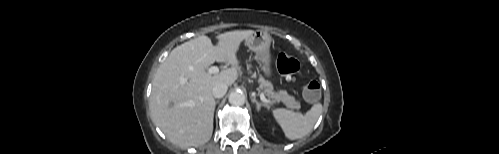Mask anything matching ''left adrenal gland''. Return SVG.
Returning <instances> with one entry per match:
<instances>
[{
	"instance_id": "1",
	"label": "left adrenal gland",
	"mask_w": 499,
	"mask_h": 154,
	"mask_svg": "<svg viewBox=\"0 0 499 154\" xmlns=\"http://www.w3.org/2000/svg\"><path fill=\"white\" fill-rule=\"evenodd\" d=\"M251 100H252V102H253V103H255V104H256V106H257V110H258V111H260L261 107H267V108H269V106H268V105L263 104V103H259V102L256 100V98H255V97H253V96H251Z\"/></svg>"
}]
</instances>
